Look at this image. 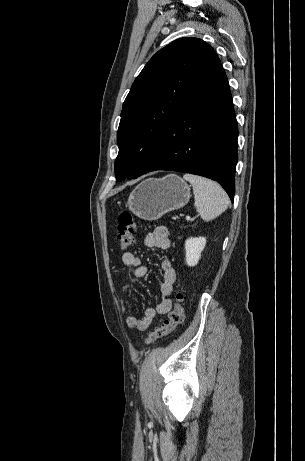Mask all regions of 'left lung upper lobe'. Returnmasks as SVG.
I'll return each mask as SVG.
<instances>
[{
  "mask_svg": "<svg viewBox=\"0 0 305 461\" xmlns=\"http://www.w3.org/2000/svg\"><path fill=\"white\" fill-rule=\"evenodd\" d=\"M218 59L198 38H180L159 50L135 79L121 112L116 179H135L156 161L168 123Z\"/></svg>",
  "mask_w": 305,
  "mask_h": 461,
  "instance_id": "5c2ea615",
  "label": "left lung upper lobe"
}]
</instances>
